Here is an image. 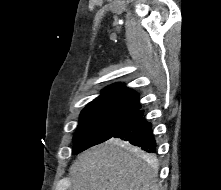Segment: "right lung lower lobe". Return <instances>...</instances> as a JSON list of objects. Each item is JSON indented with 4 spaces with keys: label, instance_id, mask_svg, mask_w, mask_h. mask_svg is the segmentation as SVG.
I'll return each instance as SVG.
<instances>
[{
    "label": "right lung lower lobe",
    "instance_id": "1",
    "mask_svg": "<svg viewBox=\"0 0 221 190\" xmlns=\"http://www.w3.org/2000/svg\"><path fill=\"white\" fill-rule=\"evenodd\" d=\"M139 110L113 137L130 142L146 152H156V141L152 133V124Z\"/></svg>",
    "mask_w": 221,
    "mask_h": 190
}]
</instances>
